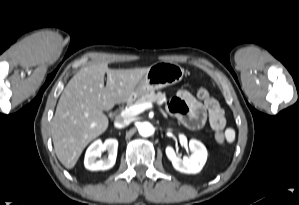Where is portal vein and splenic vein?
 <instances>
[{"mask_svg":"<svg viewBox=\"0 0 299 205\" xmlns=\"http://www.w3.org/2000/svg\"><path fill=\"white\" fill-rule=\"evenodd\" d=\"M153 107V104L151 102L142 103V104H135L129 108H126L120 113V116L123 118L136 116L143 111L150 109Z\"/></svg>","mask_w":299,"mask_h":205,"instance_id":"obj_1","label":"portal vein and splenic vein"}]
</instances>
